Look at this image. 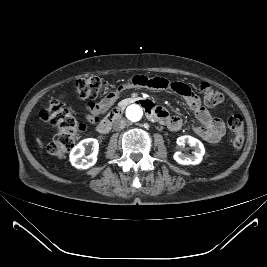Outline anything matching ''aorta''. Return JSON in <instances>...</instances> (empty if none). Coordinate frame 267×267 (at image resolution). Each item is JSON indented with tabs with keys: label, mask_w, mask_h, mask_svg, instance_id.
<instances>
[{
	"label": "aorta",
	"mask_w": 267,
	"mask_h": 267,
	"mask_svg": "<svg viewBox=\"0 0 267 267\" xmlns=\"http://www.w3.org/2000/svg\"><path fill=\"white\" fill-rule=\"evenodd\" d=\"M126 116L130 121L137 122L143 116L142 108L139 105H130L126 110Z\"/></svg>",
	"instance_id": "1"
}]
</instances>
